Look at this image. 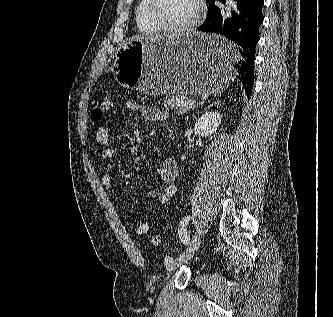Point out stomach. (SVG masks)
Wrapping results in <instances>:
<instances>
[{
    "mask_svg": "<svg viewBox=\"0 0 333 317\" xmlns=\"http://www.w3.org/2000/svg\"><path fill=\"white\" fill-rule=\"evenodd\" d=\"M227 33H191L129 40L116 53L115 73L128 89L148 95H217L235 88L226 62H241Z\"/></svg>",
    "mask_w": 333,
    "mask_h": 317,
    "instance_id": "0dacf381",
    "label": "stomach"
}]
</instances>
